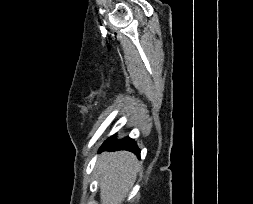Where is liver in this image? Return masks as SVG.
<instances>
[{"instance_id":"obj_1","label":"liver","mask_w":253,"mask_h":204,"mask_svg":"<svg viewBox=\"0 0 253 204\" xmlns=\"http://www.w3.org/2000/svg\"><path fill=\"white\" fill-rule=\"evenodd\" d=\"M96 168L101 204H121L136 181L140 165L130 152H104Z\"/></svg>"}]
</instances>
